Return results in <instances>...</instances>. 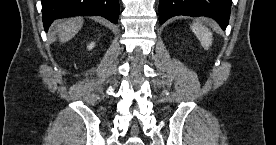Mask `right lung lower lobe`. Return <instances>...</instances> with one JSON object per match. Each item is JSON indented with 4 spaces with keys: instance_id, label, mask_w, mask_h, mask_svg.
Wrapping results in <instances>:
<instances>
[{
    "instance_id": "obj_1",
    "label": "right lung lower lobe",
    "mask_w": 276,
    "mask_h": 145,
    "mask_svg": "<svg viewBox=\"0 0 276 145\" xmlns=\"http://www.w3.org/2000/svg\"><path fill=\"white\" fill-rule=\"evenodd\" d=\"M45 31L59 18L71 16H103L117 24L118 0H41Z\"/></svg>"
}]
</instances>
